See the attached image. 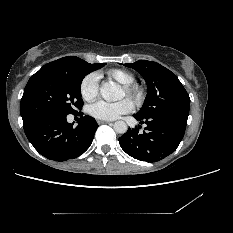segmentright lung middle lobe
<instances>
[{
  "instance_id": "dd1d6c3e",
  "label": "right lung middle lobe",
  "mask_w": 233,
  "mask_h": 233,
  "mask_svg": "<svg viewBox=\"0 0 233 233\" xmlns=\"http://www.w3.org/2000/svg\"><path fill=\"white\" fill-rule=\"evenodd\" d=\"M105 63L89 64L77 58L70 66L40 69L28 81L21 99L23 124L48 115H68L82 109L81 83L90 72Z\"/></svg>"
}]
</instances>
